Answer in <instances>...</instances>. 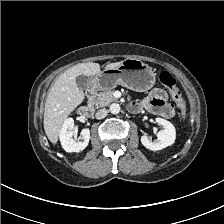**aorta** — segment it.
I'll return each instance as SVG.
<instances>
[{
	"mask_svg": "<svg viewBox=\"0 0 224 224\" xmlns=\"http://www.w3.org/2000/svg\"><path fill=\"white\" fill-rule=\"evenodd\" d=\"M109 110L112 114H118L120 112V106H119V104L114 103V104L110 105Z\"/></svg>",
	"mask_w": 224,
	"mask_h": 224,
	"instance_id": "1",
	"label": "aorta"
}]
</instances>
